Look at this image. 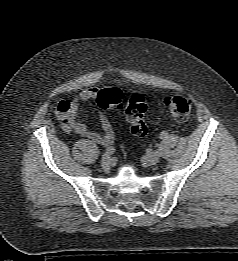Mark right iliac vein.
<instances>
[{
	"instance_id": "1",
	"label": "right iliac vein",
	"mask_w": 238,
	"mask_h": 261,
	"mask_svg": "<svg viewBox=\"0 0 238 261\" xmlns=\"http://www.w3.org/2000/svg\"><path fill=\"white\" fill-rule=\"evenodd\" d=\"M101 159L103 164H108L111 160V157L109 156V154L105 153L102 155Z\"/></svg>"
}]
</instances>
